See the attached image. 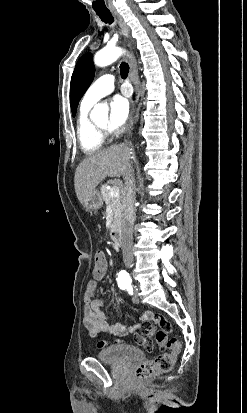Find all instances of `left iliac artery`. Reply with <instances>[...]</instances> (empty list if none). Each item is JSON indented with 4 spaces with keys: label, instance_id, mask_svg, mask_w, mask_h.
<instances>
[{
    "label": "left iliac artery",
    "instance_id": "44dca946",
    "mask_svg": "<svg viewBox=\"0 0 247 413\" xmlns=\"http://www.w3.org/2000/svg\"><path fill=\"white\" fill-rule=\"evenodd\" d=\"M126 289H127L128 293H129L130 295H133V288H132V286H127Z\"/></svg>",
    "mask_w": 247,
    "mask_h": 413
}]
</instances>
